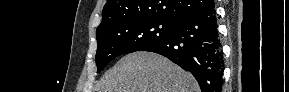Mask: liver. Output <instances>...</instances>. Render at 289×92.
<instances>
[{"label":"liver","instance_id":"1","mask_svg":"<svg viewBox=\"0 0 289 92\" xmlns=\"http://www.w3.org/2000/svg\"><path fill=\"white\" fill-rule=\"evenodd\" d=\"M100 92H200L192 76L167 58L150 52L122 57L105 73Z\"/></svg>","mask_w":289,"mask_h":92}]
</instances>
